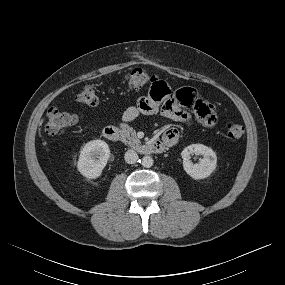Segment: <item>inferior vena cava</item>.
<instances>
[{
    "label": "inferior vena cava",
    "instance_id": "inferior-vena-cava-1",
    "mask_svg": "<svg viewBox=\"0 0 285 285\" xmlns=\"http://www.w3.org/2000/svg\"><path fill=\"white\" fill-rule=\"evenodd\" d=\"M124 158L128 164H134L138 160V154L134 150L130 149L125 153Z\"/></svg>",
    "mask_w": 285,
    "mask_h": 285
}]
</instances>
